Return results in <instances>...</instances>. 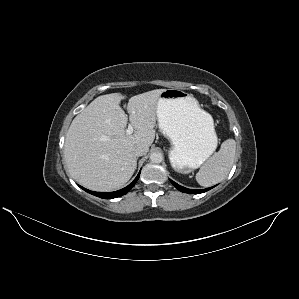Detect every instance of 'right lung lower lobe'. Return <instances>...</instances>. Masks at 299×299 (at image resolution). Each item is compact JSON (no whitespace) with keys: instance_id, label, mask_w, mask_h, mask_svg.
<instances>
[{"instance_id":"1","label":"right lung lower lobe","mask_w":299,"mask_h":299,"mask_svg":"<svg viewBox=\"0 0 299 299\" xmlns=\"http://www.w3.org/2000/svg\"><path fill=\"white\" fill-rule=\"evenodd\" d=\"M139 176H140V173L137 175V177L134 179V181L131 184H129L127 187H125L121 190L115 191V192H94V191L87 190L83 187H81V188L83 190H85L86 192L93 194L97 197H100L103 199H112V198L120 197V196L126 194L135 185Z\"/></svg>"}]
</instances>
